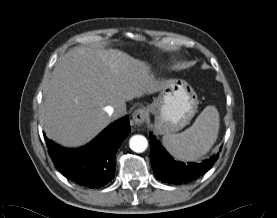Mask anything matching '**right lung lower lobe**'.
Returning a JSON list of instances; mask_svg holds the SVG:
<instances>
[{"instance_id":"98d812e1","label":"right lung lower lobe","mask_w":277,"mask_h":218,"mask_svg":"<svg viewBox=\"0 0 277 218\" xmlns=\"http://www.w3.org/2000/svg\"><path fill=\"white\" fill-rule=\"evenodd\" d=\"M129 133V119L125 116L79 149L62 148L44 137L55 167L64 176L82 186L99 188L114 178L115 155Z\"/></svg>"}]
</instances>
